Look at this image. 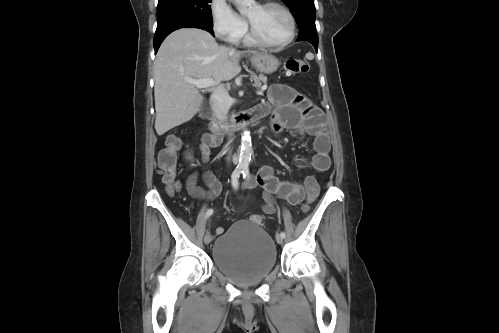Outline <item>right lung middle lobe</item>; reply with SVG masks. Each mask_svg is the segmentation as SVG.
Instances as JSON below:
<instances>
[{
  "mask_svg": "<svg viewBox=\"0 0 499 333\" xmlns=\"http://www.w3.org/2000/svg\"><path fill=\"white\" fill-rule=\"evenodd\" d=\"M212 0H159L157 6V29L178 22L212 23Z\"/></svg>",
  "mask_w": 499,
  "mask_h": 333,
  "instance_id": "dd1d6c3e",
  "label": "right lung middle lobe"
}]
</instances>
